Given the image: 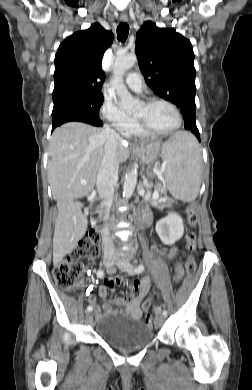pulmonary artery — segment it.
<instances>
[{"label": "pulmonary artery", "instance_id": "1", "mask_svg": "<svg viewBox=\"0 0 252 390\" xmlns=\"http://www.w3.org/2000/svg\"><path fill=\"white\" fill-rule=\"evenodd\" d=\"M125 83L131 90L135 92H140L142 89L141 75L136 72L128 74L125 79Z\"/></svg>", "mask_w": 252, "mask_h": 390}]
</instances>
